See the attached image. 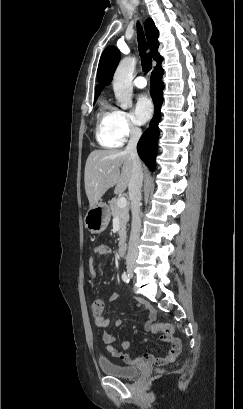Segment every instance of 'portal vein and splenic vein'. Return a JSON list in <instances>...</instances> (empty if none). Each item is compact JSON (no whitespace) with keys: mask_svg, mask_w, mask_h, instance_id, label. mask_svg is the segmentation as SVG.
<instances>
[{"mask_svg":"<svg viewBox=\"0 0 243 409\" xmlns=\"http://www.w3.org/2000/svg\"><path fill=\"white\" fill-rule=\"evenodd\" d=\"M117 206H118L119 208H124L125 206H127V200H126V198H125V197H120V198H118V200H117Z\"/></svg>","mask_w":243,"mask_h":409,"instance_id":"obj_1","label":"portal vein and splenic vein"}]
</instances>
